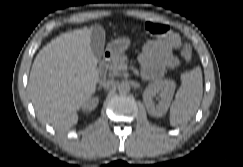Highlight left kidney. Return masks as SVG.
<instances>
[{"instance_id": "obj_1", "label": "left kidney", "mask_w": 243, "mask_h": 167, "mask_svg": "<svg viewBox=\"0 0 243 167\" xmlns=\"http://www.w3.org/2000/svg\"><path fill=\"white\" fill-rule=\"evenodd\" d=\"M174 91L175 83L170 80L150 84L143 93V101L148 113L154 117L163 116L168 110ZM158 92H160L161 100L155 105L153 97Z\"/></svg>"}]
</instances>
